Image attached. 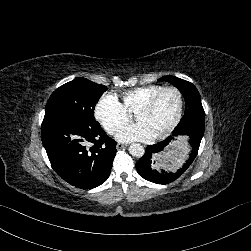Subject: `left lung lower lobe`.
Instances as JSON below:
<instances>
[{
    "instance_id": "obj_1",
    "label": "left lung lower lobe",
    "mask_w": 251,
    "mask_h": 251,
    "mask_svg": "<svg viewBox=\"0 0 251 251\" xmlns=\"http://www.w3.org/2000/svg\"><path fill=\"white\" fill-rule=\"evenodd\" d=\"M204 135V129L197 127H176L172 136H185L188 138L189 153L185 162L177 169L168 171L166 169L158 168L156 165L155 156L164 150V148L173 139L169 136L166 140L156 144L148 145L143 157L136 162L137 172L146 180L156 184H168L179 178L194 161L201 139Z\"/></svg>"
}]
</instances>
